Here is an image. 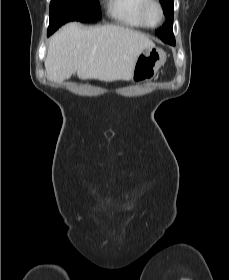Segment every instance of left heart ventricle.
<instances>
[{"label": "left heart ventricle", "mask_w": 229, "mask_h": 280, "mask_svg": "<svg viewBox=\"0 0 229 280\" xmlns=\"http://www.w3.org/2000/svg\"><path fill=\"white\" fill-rule=\"evenodd\" d=\"M159 20V11L156 7H152L148 11V21L151 24H156Z\"/></svg>", "instance_id": "1"}]
</instances>
